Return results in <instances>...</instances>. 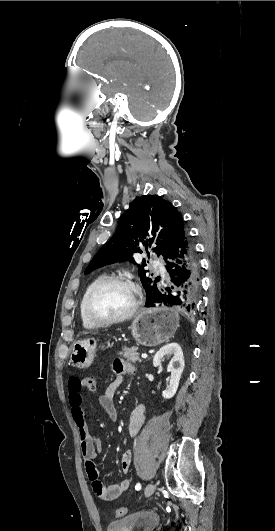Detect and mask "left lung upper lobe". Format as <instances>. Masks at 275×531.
<instances>
[{"mask_svg":"<svg viewBox=\"0 0 275 531\" xmlns=\"http://www.w3.org/2000/svg\"><path fill=\"white\" fill-rule=\"evenodd\" d=\"M184 228L183 218L168 201L157 195L136 197L119 220L112 238L97 252L85 270V274L107 264L132 260V255L142 252L141 248H152L153 252L167 254L180 230ZM133 261V260H132ZM145 261L139 265V276L146 291V304H150L159 293L154 277L144 270Z\"/></svg>","mask_w":275,"mask_h":531,"instance_id":"5c2ea615","label":"left lung upper lobe"}]
</instances>
